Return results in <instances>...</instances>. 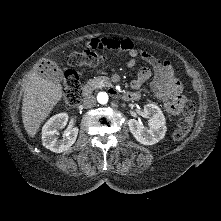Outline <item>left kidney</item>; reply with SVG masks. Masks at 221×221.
I'll list each match as a JSON object with an SVG mask.
<instances>
[{
    "instance_id": "left-kidney-1",
    "label": "left kidney",
    "mask_w": 221,
    "mask_h": 221,
    "mask_svg": "<svg viewBox=\"0 0 221 221\" xmlns=\"http://www.w3.org/2000/svg\"><path fill=\"white\" fill-rule=\"evenodd\" d=\"M144 114L151 116L147 129L141 122L135 119L128 121L130 132L134 138L143 145H153L164 138L167 127L165 117L161 109L154 104H146Z\"/></svg>"
}]
</instances>
